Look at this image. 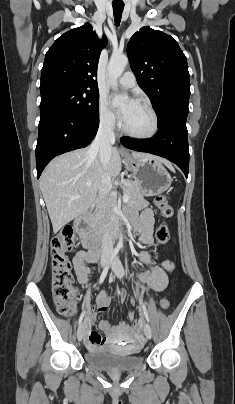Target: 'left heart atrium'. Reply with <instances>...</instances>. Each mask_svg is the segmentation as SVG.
I'll return each instance as SVG.
<instances>
[{
  "label": "left heart atrium",
  "mask_w": 235,
  "mask_h": 404,
  "mask_svg": "<svg viewBox=\"0 0 235 404\" xmlns=\"http://www.w3.org/2000/svg\"><path fill=\"white\" fill-rule=\"evenodd\" d=\"M136 104H137V103H136L135 100H130L129 102H127L125 105H123V106L118 110L119 116H120V118H121L123 121L128 117L130 111L132 110V108H133Z\"/></svg>",
  "instance_id": "left-heart-atrium-1"
}]
</instances>
